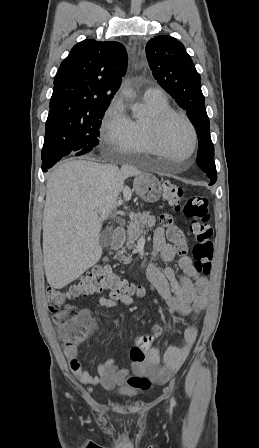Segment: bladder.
I'll return each mask as SVG.
<instances>
[{
	"label": "bladder",
	"instance_id": "31cf9c89",
	"mask_svg": "<svg viewBox=\"0 0 259 448\" xmlns=\"http://www.w3.org/2000/svg\"><path fill=\"white\" fill-rule=\"evenodd\" d=\"M118 395L125 398H133L136 396V392L130 389H121L118 391Z\"/></svg>",
	"mask_w": 259,
	"mask_h": 448
}]
</instances>
